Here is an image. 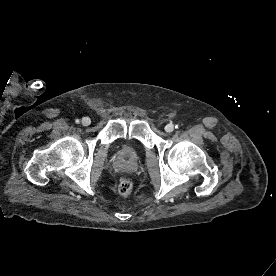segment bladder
I'll return each mask as SVG.
<instances>
[{"label": "bladder", "instance_id": "bladder-1", "mask_svg": "<svg viewBox=\"0 0 276 276\" xmlns=\"http://www.w3.org/2000/svg\"><path fill=\"white\" fill-rule=\"evenodd\" d=\"M121 152H122V155L128 160L134 159L137 155L136 148L130 145L123 146Z\"/></svg>", "mask_w": 276, "mask_h": 276}]
</instances>
